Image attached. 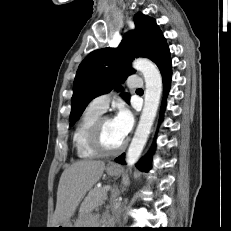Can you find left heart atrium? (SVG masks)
<instances>
[{"instance_id":"left-heart-atrium-1","label":"left heart atrium","mask_w":231,"mask_h":231,"mask_svg":"<svg viewBox=\"0 0 231 231\" xmlns=\"http://www.w3.org/2000/svg\"><path fill=\"white\" fill-rule=\"evenodd\" d=\"M112 121L119 135L125 140L134 124L131 112L127 108L121 107Z\"/></svg>"}]
</instances>
